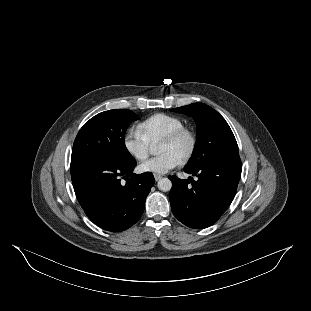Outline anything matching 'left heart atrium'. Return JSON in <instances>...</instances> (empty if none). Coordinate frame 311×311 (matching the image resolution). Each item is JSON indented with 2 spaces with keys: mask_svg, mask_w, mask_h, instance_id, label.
I'll use <instances>...</instances> for the list:
<instances>
[{
  "mask_svg": "<svg viewBox=\"0 0 311 311\" xmlns=\"http://www.w3.org/2000/svg\"><path fill=\"white\" fill-rule=\"evenodd\" d=\"M180 164L181 159L176 154L166 152L141 163L139 170L148 174L165 175Z\"/></svg>",
  "mask_w": 311,
  "mask_h": 311,
  "instance_id": "left-heart-atrium-1",
  "label": "left heart atrium"
}]
</instances>
